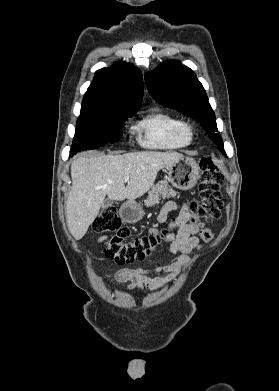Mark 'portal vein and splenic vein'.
<instances>
[{
	"label": "portal vein and splenic vein",
	"instance_id": "18ae733b",
	"mask_svg": "<svg viewBox=\"0 0 279 391\" xmlns=\"http://www.w3.org/2000/svg\"><path fill=\"white\" fill-rule=\"evenodd\" d=\"M128 180H129V177H126V178H125V182H127Z\"/></svg>",
	"mask_w": 279,
	"mask_h": 391
}]
</instances>
